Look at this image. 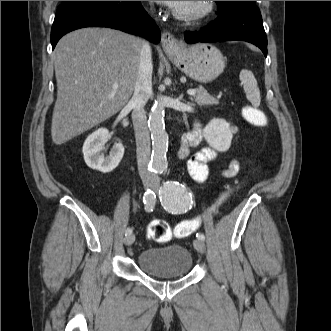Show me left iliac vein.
<instances>
[{
  "mask_svg": "<svg viewBox=\"0 0 331 331\" xmlns=\"http://www.w3.org/2000/svg\"><path fill=\"white\" fill-rule=\"evenodd\" d=\"M160 183H159V179L158 178H153L151 181V187L153 190L157 191L159 189ZM193 246L194 248L200 252V253H205L206 247L205 244L203 242V240L201 239H195L193 241Z\"/></svg>",
  "mask_w": 331,
  "mask_h": 331,
  "instance_id": "1",
  "label": "left iliac vein"
}]
</instances>
